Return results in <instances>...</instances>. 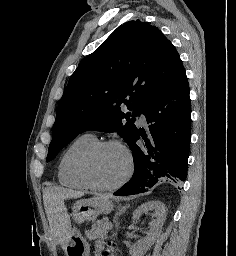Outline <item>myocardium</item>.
Masks as SVG:
<instances>
[{
  "label": "myocardium",
  "instance_id": "1",
  "mask_svg": "<svg viewBox=\"0 0 236 256\" xmlns=\"http://www.w3.org/2000/svg\"><path fill=\"white\" fill-rule=\"evenodd\" d=\"M107 147H117L126 156L127 169L121 180L115 185L109 187H101L96 185L91 177V163L93 158L99 154L103 149ZM134 172V159L129 148L120 141L117 140H106L97 142L90 151L84 156L81 162L80 174L81 178L88 189L96 193H112L122 188L132 177Z\"/></svg>",
  "mask_w": 236,
  "mask_h": 256
}]
</instances>
